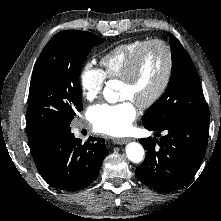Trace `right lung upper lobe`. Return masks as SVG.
<instances>
[{
    "instance_id": "right-lung-upper-lobe-1",
    "label": "right lung upper lobe",
    "mask_w": 221,
    "mask_h": 221,
    "mask_svg": "<svg viewBox=\"0 0 221 221\" xmlns=\"http://www.w3.org/2000/svg\"><path fill=\"white\" fill-rule=\"evenodd\" d=\"M42 143H38V144H35V145H31L30 148H31V151H34L36 150Z\"/></svg>"
}]
</instances>
